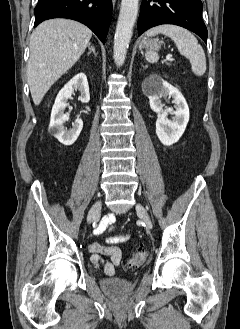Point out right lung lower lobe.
<instances>
[{
  "mask_svg": "<svg viewBox=\"0 0 240 329\" xmlns=\"http://www.w3.org/2000/svg\"><path fill=\"white\" fill-rule=\"evenodd\" d=\"M34 14V27L47 19H73L88 26L105 43L112 0H38Z\"/></svg>",
  "mask_w": 240,
  "mask_h": 329,
  "instance_id": "1",
  "label": "right lung lower lobe"
}]
</instances>
